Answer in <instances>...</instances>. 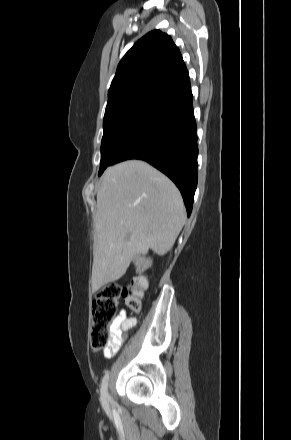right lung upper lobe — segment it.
Segmentation results:
<instances>
[{
    "label": "right lung upper lobe",
    "mask_w": 291,
    "mask_h": 440,
    "mask_svg": "<svg viewBox=\"0 0 291 440\" xmlns=\"http://www.w3.org/2000/svg\"><path fill=\"white\" fill-rule=\"evenodd\" d=\"M188 77L171 37L154 30L138 40L120 61L108 91V104L139 96L157 97Z\"/></svg>",
    "instance_id": "1"
}]
</instances>
